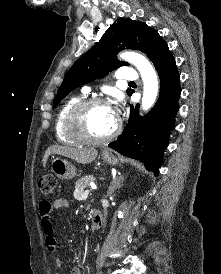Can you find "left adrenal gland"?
Wrapping results in <instances>:
<instances>
[{"label": "left adrenal gland", "mask_w": 221, "mask_h": 274, "mask_svg": "<svg viewBox=\"0 0 221 274\" xmlns=\"http://www.w3.org/2000/svg\"><path fill=\"white\" fill-rule=\"evenodd\" d=\"M123 182H124V176L120 175L119 177H117L115 179V181L111 184V186L108 189V193L107 196L111 195L112 193H114V191L116 189H119L123 186Z\"/></svg>", "instance_id": "1"}]
</instances>
